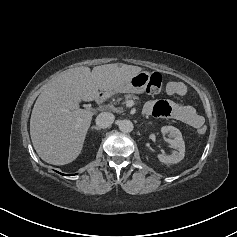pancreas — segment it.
Instances as JSON below:
<instances>
[{"label": "pancreas", "instance_id": "obj_1", "mask_svg": "<svg viewBox=\"0 0 237 237\" xmlns=\"http://www.w3.org/2000/svg\"><path fill=\"white\" fill-rule=\"evenodd\" d=\"M121 100H122V99H118L117 102H120ZM129 100H138V97L135 96V95L128 94V95L125 96V98H124L122 104H125V103H126L127 101H129Z\"/></svg>", "mask_w": 237, "mask_h": 237}]
</instances>
